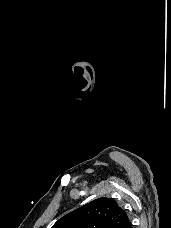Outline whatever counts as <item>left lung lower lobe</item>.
<instances>
[{
  "mask_svg": "<svg viewBox=\"0 0 171 228\" xmlns=\"http://www.w3.org/2000/svg\"><path fill=\"white\" fill-rule=\"evenodd\" d=\"M122 228H132V224H131L130 220H129L128 222H126V223L122 226Z\"/></svg>",
  "mask_w": 171,
  "mask_h": 228,
  "instance_id": "left-lung-lower-lobe-1",
  "label": "left lung lower lobe"
}]
</instances>
